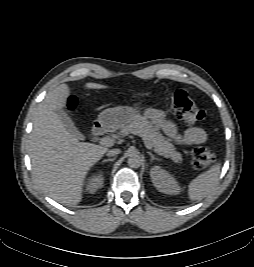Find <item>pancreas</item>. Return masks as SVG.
Returning <instances> with one entry per match:
<instances>
[{
    "instance_id": "cf45deb5",
    "label": "pancreas",
    "mask_w": 254,
    "mask_h": 267,
    "mask_svg": "<svg viewBox=\"0 0 254 267\" xmlns=\"http://www.w3.org/2000/svg\"><path fill=\"white\" fill-rule=\"evenodd\" d=\"M120 134L125 136L134 134L140 136L149 143L159 155L170 158L175 163L182 162V155L176 148L148 121L142 116H138L135 121L121 129Z\"/></svg>"
}]
</instances>
